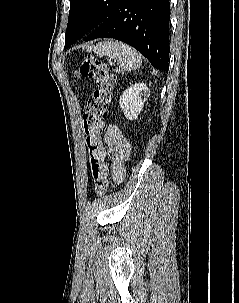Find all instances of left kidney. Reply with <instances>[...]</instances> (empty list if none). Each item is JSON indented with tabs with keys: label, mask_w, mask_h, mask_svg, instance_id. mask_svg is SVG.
I'll return each mask as SVG.
<instances>
[{
	"label": "left kidney",
	"mask_w": 239,
	"mask_h": 303,
	"mask_svg": "<svg viewBox=\"0 0 239 303\" xmlns=\"http://www.w3.org/2000/svg\"><path fill=\"white\" fill-rule=\"evenodd\" d=\"M149 96L150 90L143 83L134 84L126 89L119 100L125 117L128 120H136Z\"/></svg>",
	"instance_id": "5707ae66"
}]
</instances>
